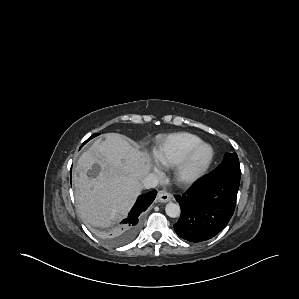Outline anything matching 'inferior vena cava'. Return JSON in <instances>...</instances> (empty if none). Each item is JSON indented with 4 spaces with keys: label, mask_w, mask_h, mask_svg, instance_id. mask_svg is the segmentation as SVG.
<instances>
[{
    "label": "inferior vena cava",
    "mask_w": 299,
    "mask_h": 299,
    "mask_svg": "<svg viewBox=\"0 0 299 299\" xmlns=\"http://www.w3.org/2000/svg\"><path fill=\"white\" fill-rule=\"evenodd\" d=\"M143 186L147 189L154 188L159 184L157 176L153 173L148 174L142 181Z\"/></svg>",
    "instance_id": "602c4592"
}]
</instances>
